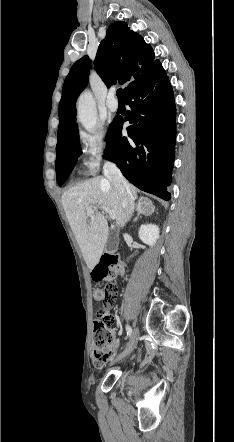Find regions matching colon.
I'll use <instances>...</instances> for the list:
<instances>
[{"label": "colon", "mask_w": 234, "mask_h": 442, "mask_svg": "<svg viewBox=\"0 0 234 442\" xmlns=\"http://www.w3.org/2000/svg\"><path fill=\"white\" fill-rule=\"evenodd\" d=\"M124 272V264L115 255L105 254L94 267L92 277L95 281L104 282L93 292L95 301L102 303L105 308L99 314H111L107 307L111 306L117 297L118 287L116 277ZM115 322V321H114ZM93 362L97 367H103L114 355V334L112 328H94Z\"/></svg>", "instance_id": "obj_1"}]
</instances>
